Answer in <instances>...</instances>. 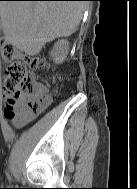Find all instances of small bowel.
I'll use <instances>...</instances> for the list:
<instances>
[{"label":"small bowel","instance_id":"small-bowel-1","mask_svg":"<svg viewBox=\"0 0 137 189\" xmlns=\"http://www.w3.org/2000/svg\"><path fill=\"white\" fill-rule=\"evenodd\" d=\"M46 92L47 91L44 87L42 86L36 87V93L40 96L43 105H46L49 102ZM9 103L11 105H14L22 109L25 108L23 99L21 97L11 100ZM5 116L11 119L14 123H16L19 126L24 125L25 123L29 122L33 118V114L29 111L23 110L20 113H15L14 111H12L11 108L5 111Z\"/></svg>","mask_w":137,"mask_h":189}]
</instances>
